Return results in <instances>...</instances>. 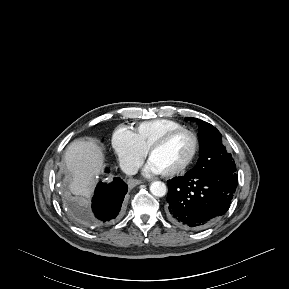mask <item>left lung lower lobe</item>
<instances>
[{"label": "left lung lower lobe", "instance_id": "1", "mask_svg": "<svg viewBox=\"0 0 289 289\" xmlns=\"http://www.w3.org/2000/svg\"><path fill=\"white\" fill-rule=\"evenodd\" d=\"M167 217L182 228L202 229L229 209L238 175L228 165L188 171L167 181Z\"/></svg>", "mask_w": 289, "mask_h": 289}]
</instances>
